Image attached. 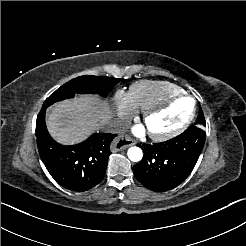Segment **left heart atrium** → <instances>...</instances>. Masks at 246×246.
Segmentation results:
<instances>
[{"label":"left heart atrium","instance_id":"obj_1","mask_svg":"<svg viewBox=\"0 0 246 246\" xmlns=\"http://www.w3.org/2000/svg\"><path fill=\"white\" fill-rule=\"evenodd\" d=\"M133 130L137 135H142L144 132V129L141 126L135 127Z\"/></svg>","mask_w":246,"mask_h":246}]
</instances>
